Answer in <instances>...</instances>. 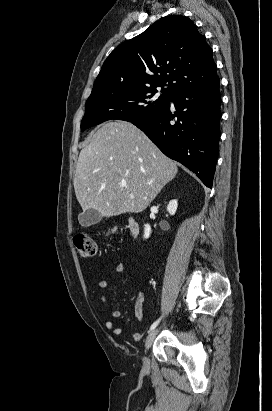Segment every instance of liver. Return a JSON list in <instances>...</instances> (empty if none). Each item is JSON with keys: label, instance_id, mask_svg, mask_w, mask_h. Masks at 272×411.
<instances>
[{"label": "liver", "instance_id": "1", "mask_svg": "<svg viewBox=\"0 0 272 411\" xmlns=\"http://www.w3.org/2000/svg\"><path fill=\"white\" fill-rule=\"evenodd\" d=\"M177 172L140 129L115 121L103 124L81 150L73 184L83 212L95 209L109 218L145 210Z\"/></svg>", "mask_w": 272, "mask_h": 411}]
</instances>
